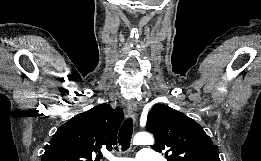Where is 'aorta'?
Wrapping results in <instances>:
<instances>
[{"instance_id": "obj_1", "label": "aorta", "mask_w": 261, "mask_h": 161, "mask_svg": "<svg viewBox=\"0 0 261 161\" xmlns=\"http://www.w3.org/2000/svg\"><path fill=\"white\" fill-rule=\"evenodd\" d=\"M153 142L152 135L146 132L136 134L133 140L134 145H152Z\"/></svg>"}]
</instances>
